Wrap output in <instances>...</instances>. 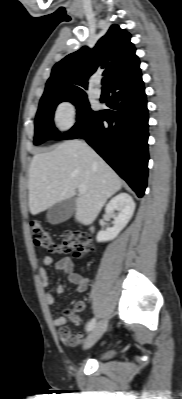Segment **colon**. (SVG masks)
Wrapping results in <instances>:
<instances>
[{
    "instance_id": "5ec220e1",
    "label": "colon",
    "mask_w": 182,
    "mask_h": 399,
    "mask_svg": "<svg viewBox=\"0 0 182 399\" xmlns=\"http://www.w3.org/2000/svg\"><path fill=\"white\" fill-rule=\"evenodd\" d=\"M31 236L35 245L52 252H71L76 250V256H88L92 252V244L87 234L81 232H67L59 241H55L47 228L39 221L30 224ZM75 310H66V315L77 322Z\"/></svg>"
}]
</instances>
